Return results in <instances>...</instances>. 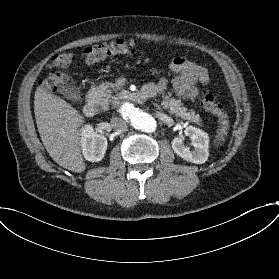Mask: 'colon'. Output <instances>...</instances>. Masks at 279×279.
<instances>
[{
  "mask_svg": "<svg viewBox=\"0 0 279 279\" xmlns=\"http://www.w3.org/2000/svg\"><path fill=\"white\" fill-rule=\"evenodd\" d=\"M136 53V45L133 41H111L102 43L85 52L86 64H94L113 56H128ZM73 61V54L69 50L56 53L49 65V68L55 73L51 78L45 81L44 89L46 91H55L58 89L64 77L57 73L70 66ZM202 108L211 115L218 116L223 112L222 104L209 92H203L201 95Z\"/></svg>",
  "mask_w": 279,
  "mask_h": 279,
  "instance_id": "5ec220e1",
  "label": "colon"
}]
</instances>
